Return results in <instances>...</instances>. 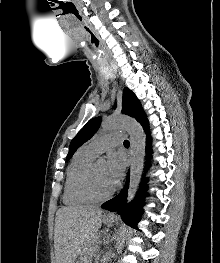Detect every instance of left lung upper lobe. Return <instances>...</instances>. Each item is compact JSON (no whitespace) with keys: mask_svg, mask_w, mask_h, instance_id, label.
<instances>
[{"mask_svg":"<svg viewBox=\"0 0 220 263\" xmlns=\"http://www.w3.org/2000/svg\"><path fill=\"white\" fill-rule=\"evenodd\" d=\"M122 113L134 117L143 127L148 125L146 115L142 110L141 103L135 96V94L128 88L124 89L122 99ZM101 123V118H93L87 122V124L78 132L73 138L69 147V153L67 160H69L74 152L87 140H89L93 134L98 130Z\"/></svg>","mask_w":220,"mask_h":263,"instance_id":"1","label":"left lung upper lobe"}]
</instances>
